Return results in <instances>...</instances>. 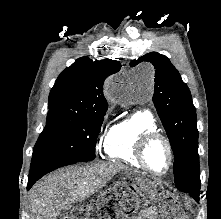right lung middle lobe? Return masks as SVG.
<instances>
[{
	"instance_id": "dd1d6c3e",
	"label": "right lung middle lobe",
	"mask_w": 221,
	"mask_h": 219,
	"mask_svg": "<svg viewBox=\"0 0 221 219\" xmlns=\"http://www.w3.org/2000/svg\"><path fill=\"white\" fill-rule=\"evenodd\" d=\"M105 112L106 109L79 112L49 108L46 127L36 142L33 155L46 152L77 162L93 160Z\"/></svg>"
}]
</instances>
